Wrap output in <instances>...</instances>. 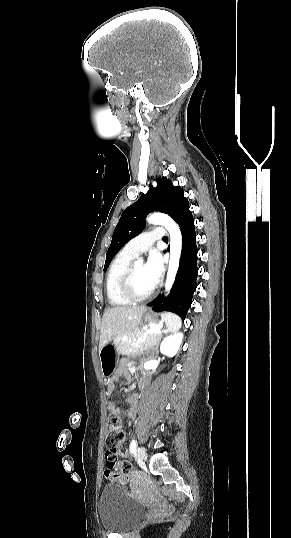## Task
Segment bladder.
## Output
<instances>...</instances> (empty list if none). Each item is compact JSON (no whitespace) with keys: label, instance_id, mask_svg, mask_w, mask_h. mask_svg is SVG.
I'll list each match as a JSON object with an SVG mask.
<instances>
[{"label":"bladder","instance_id":"bladder-1","mask_svg":"<svg viewBox=\"0 0 291 538\" xmlns=\"http://www.w3.org/2000/svg\"><path fill=\"white\" fill-rule=\"evenodd\" d=\"M97 512L104 529L108 532L124 533L143 516L144 509L126 497L119 484H109L99 497Z\"/></svg>","mask_w":291,"mask_h":538}]
</instances>
